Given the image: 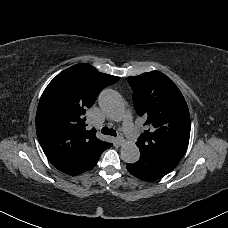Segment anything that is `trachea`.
<instances>
[{
  "mask_svg": "<svg viewBox=\"0 0 228 228\" xmlns=\"http://www.w3.org/2000/svg\"><path fill=\"white\" fill-rule=\"evenodd\" d=\"M101 133L105 134V135L114 136V137H116V135H117V133L114 129L106 127V126L101 129Z\"/></svg>",
  "mask_w": 228,
  "mask_h": 228,
  "instance_id": "trachea-1",
  "label": "trachea"
}]
</instances>
